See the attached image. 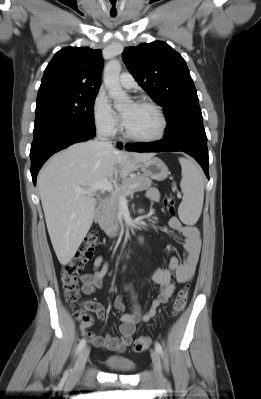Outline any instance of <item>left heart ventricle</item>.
Listing matches in <instances>:
<instances>
[{
  "instance_id": "left-heart-ventricle-1",
  "label": "left heart ventricle",
  "mask_w": 261,
  "mask_h": 399,
  "mask_svg": "<svg viewBox=\"0 0 261 399\" xmlns=\"http://www.w3.org/2000/svg\"><path fill=\"white\" fill-rule=\"evenodd\" d=\"M122 114L127 129L134 135L152 136L160 128L158 115L147 106L129 103L123 108Z\"/></svg>"
}]
</instances>
